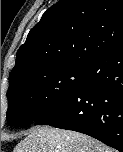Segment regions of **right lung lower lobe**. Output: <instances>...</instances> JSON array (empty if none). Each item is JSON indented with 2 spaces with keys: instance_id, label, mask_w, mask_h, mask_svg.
I'll use <instances>...</instances> for the list:
<instances>
[{
  "instance_id": "98d812e1",
  "label": "right lung lower lobe",
  "mask_w": 123,
  "mask_h": 152,
  "mask_svg": "<svg viewBox=\"0 0 123 152\" xmlns=\"http://www.w3.org/2000/svg\"><path fill=\"white\" fill-rule=\"evenodd\" d=\"M34 124L81 132L123 152V44L89 63L77 90Z\"/></svg>"
}]
</instances>
